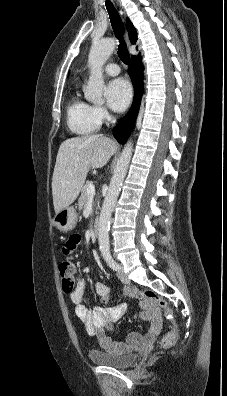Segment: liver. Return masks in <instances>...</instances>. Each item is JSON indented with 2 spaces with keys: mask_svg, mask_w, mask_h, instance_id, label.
I'll return each mask as SVG.
<instances>
[{
  "mask_svg": "<svg viewBox=\"0 0 227 396\" xmlns=\"http://www.w3.org/2000/svg\"><path fill=\"white\" fill-rule=\"evenodd\" d=\"M116 150V142L99 134L73 137L61 143L52 178L55 213L76 200L89 170L105 166Z\"/></svg>",
  "mask_w": 227,
  "mask_h": 396,
  "instance_id": "liver-1",
  "label": "liver"
}]
</instances>
